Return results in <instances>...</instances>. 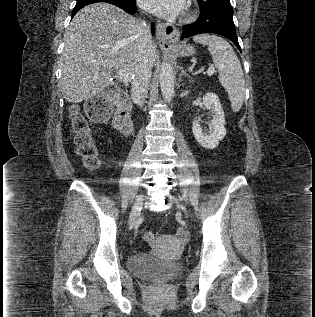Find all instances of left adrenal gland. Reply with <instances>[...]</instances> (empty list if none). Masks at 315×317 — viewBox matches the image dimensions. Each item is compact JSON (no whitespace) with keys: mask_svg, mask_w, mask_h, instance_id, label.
Masks as SVG:
<instances>
[{"mask_svg":"<svg viewBox=\"0 0 315 317\" xmlns=\"http://www.w3.org/2000/svg\"><path fill=\"white\" fill-rule=\"evenodd\" d=\"M179 69L181 70L180 75H179V81H181L182 76H186V77L190 78V81H193L191 76L184 70V67H180Z\"/></svg>","mask_w":315,"mask_h":317,"instance_id":"obj_1","label":"left adrenal gland"}]
</instances>
